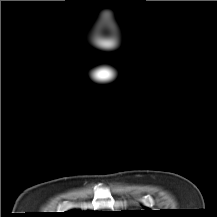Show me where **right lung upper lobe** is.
<instances>
[{
	"instance_id": "right-lung-upper-lobe-1",
	"label": "right lung upper lobe",
	"mask_w": 217,
	"mask_h": 217,
	"mask_svg": "<svg viewBox=\"0 0 217 217\" xmlns=\"http://www.w3.org/2000/svg\"><path fill=\"white\" fill-rule=\"evenodd\" d=\"M89 212H82V211H77V210H72L64 213V216L67 217H83L87 215Z\"/></svg>"
}]
</instances>
